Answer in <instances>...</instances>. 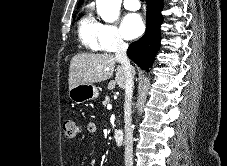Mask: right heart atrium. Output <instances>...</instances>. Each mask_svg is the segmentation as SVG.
Returning a JSON list of instances; mask_svg holds the SVG:
<instances>
[{"mask_svg": "<svg viewBox=\"0 0 227 166\" xmlns=\"http://www.w3.org/2000/svg\"><path fill=\"white\" fill-rule=\"evenodd\" d=\"M100 40L104 51H112L125 45L117 26L113 23L101 24Z\"/></svg>", "mask_w": 227, "mask_h": 166, "instance_id": "1", "label": "right heart atrium"}]
</instances>
